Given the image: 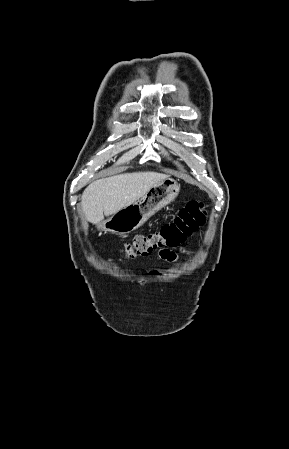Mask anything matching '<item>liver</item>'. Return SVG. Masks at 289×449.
<instances>
[{"instance_id": "6515ba94", "label": "liver", "mask_w": 289, "mask_h": 449, "mask_svg": "<svg viewBox=\"0 0 289 449\" xmlns=\"http://www.w3.org/2000/svg\"><path fill=\"white\" fill-rule=\"evenodd\" d=\"M167 178L157 172H134L92 182L83 192L81 207L85 219L99 225L109 217L142 198L151 187Z\"/></svg>"}]
</instances>
